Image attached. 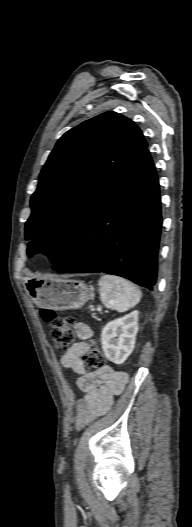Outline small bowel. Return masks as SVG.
I'll return each instance as SVG.
<instances>
[{"label": "small bowel", "mask_w": 192, "mask_h": 527, "mask_svg": "<svg viewBox=\"0 0 192 527\" xmlns=\"http://www.w3.org/2000/svg\"><path fill=\"white\" fill-rule=\"evenodd\" d=\"M74 328L81 339L91 335L89 328L82 323L75 324ZM88 349L84 342H78L69 347L61 356L62 366L78 375L76 384L84 393V397L78 400L75 406V425L77 427L106 413L111 408L114 397L123 391L128 380L125 372L114 370L108 365L97 371H87L83 356Z\"/></svg>", "instance_id": "small-bowel-1"}]
</instances>
